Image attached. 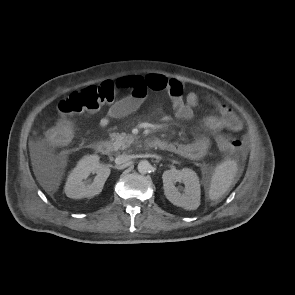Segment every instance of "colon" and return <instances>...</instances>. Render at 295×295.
Returning <instances> with one entry per match:
<instances>
[{"mask_svg":"<svg viewBox=\"0 0 295 295\" xmlns=\"http://www.w3.org/2000/svg\"><path fill=\"white\" fill-rule=\"evenodd\" d=\"M124 90L130 91V88L118 81H107L99 86H90L72 93L60 103L58 110L63 117L86 111H97L104 105L115 103ZM71 137V126L66 120L60 121L47 132L48 141L57 146L68 144ZM216 143L220 150L228 154L241 153L243 150L240 140L226 135H218Z\"/></svg>","mask_w":295,"mask_h":295,"instance_id":"5ec220e1","label":"colon"}]
</instances>
